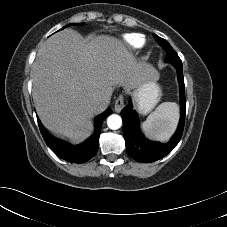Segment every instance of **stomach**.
<instances>
[{"mask_svg": "<svg viewBox=\"0 0 227 227\" xmlns=\"http://www.w3.org/2000/svg\"><path fill=\"white\" fill-rule=\"evenodd\" d=\"M160 95L155 78L147 80L133 92L137 110L143 115L149 113L159 101Z\"/></svg>", "mask_w": 227, "mask_h": 227, "instance_id": "obj_1", "label": "stomach"}]
</instances>
